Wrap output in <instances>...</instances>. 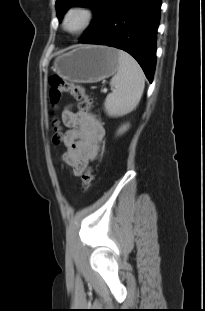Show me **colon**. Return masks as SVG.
<instances>
[{
	"instance_id": "1",
	"label": "colon",
	"mask_w": 205,
	"mask_h": 311,
	"mask_svg": "<svg viewBox=\"0 0 205 311\" xmlns=\"http://www.w3.org/2000/svg\"><path fill=\"white\" fill-rule=\"evenodd\" d=\"M69 93L74 96L80 102V108L84 111H89L92 108V99L88 97L84 89L67 81L59 76H53L49 79V99L53 106H57L61 100L63 94ZM54 128L53 142L54 144H60L64 136L60 131L57 122H53ZM93 181V169L89 167L82 174V190L88 191Z\"/></svg>"
}]
</instances>
